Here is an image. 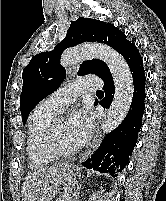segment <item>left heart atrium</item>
<instances>
[{"label": "left heart atrium", "mask_w": 166, "mask_h": 201, "mask_svg": "<svg viewBox=\"0 0 166 201\" xmlns=\"http://www.w3.org/2000/svg\"><path fill=\"white\" fill-rule=\"evenodd\" d=\"M68 127L78 146L89 138L93 128V116L88 108L74 110L68 120Z\"/></svg>", "instance_id": "39dd6f15"}]
</instances>
